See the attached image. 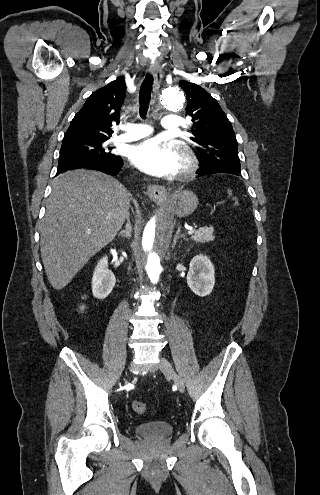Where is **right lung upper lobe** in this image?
I'll use <instances>...</instances> for the list:
<instances>
[{
	"label": "right lung upper lobe",
	"instance_id": "cb5924a9",
	"mask_svg": "<svg viewBox=\"0 0 320 495\" xmlns=\"http://www.w3.org/2000/svg\"><path fill=\"white\" fill-rule=\"evenodd\" d=\"M125 94V81L120 78L93 92L73 118L63 140L109 138L112 124L119 123Z\"/></svg>",
	"mask_w": 320,
	"mask_h": 495
}]
</instances>
